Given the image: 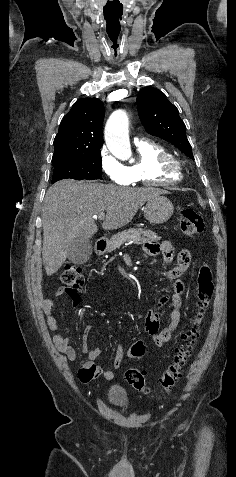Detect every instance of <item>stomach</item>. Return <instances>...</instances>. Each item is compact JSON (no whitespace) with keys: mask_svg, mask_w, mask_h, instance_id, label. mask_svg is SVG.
Wrapping results in <instances>:
<instances>
[{"mask_svg":"<svg viewBox=\"0 0 236 477\" xmlns=\"http://www.w3.org/2000/svg\"><path fill=\"white\" fill-rule=\"evenodd\" d=\"M145 218L153 224H161L169 220L174 212L172 202L165 196H157L147 201L143 207Z\"/></svg>","mask_w":236,"mask_h":477,"instance_id":"1","label":"stomach"}]
</instances>
